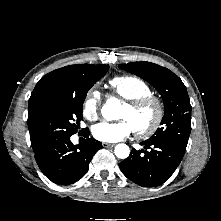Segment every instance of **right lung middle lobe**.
I'll use <instances>...</instances> for the list:
<instances>
[{
	"instance_id": "dd1d6c3e",
	"label": "right lung middle lobe",
	"mask_w": 221,
	"mask_h": 221,
	"mask_svg": "<svg viewBox=\"0 0 221 221\" xmlns=\"http://www.w3.org/2000/svg\"><path fill=\"white\" fill-rule=\"evenodd\" d=\"M108 67L109 65H103L86 73L38 107L28 121L33 150L77 132L83 119L82 107L86 94L106 74Z\"/></svg>"
}]
</instances>
